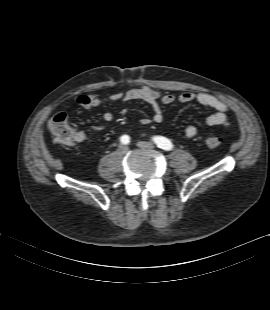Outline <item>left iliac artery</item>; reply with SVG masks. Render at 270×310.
Here are the masks:
<instances>
[{"label":"left iliac artery","mask_w":270,"mask_h":310,"mask_svg":"<svg viewBox=\"0 0 270 310\" xmlns=\"http://www.w3.org/2000/svg\"><path fill=\"white\" fill-rule=\"evenodd\" d=\"M153 141L157 145V147L163 150L169 151L173 148V144L171 143V141L165 137L156 136L153 138Z\"/></svg>","instance_id":"left-iliac-artery-1"}]
</instances>
